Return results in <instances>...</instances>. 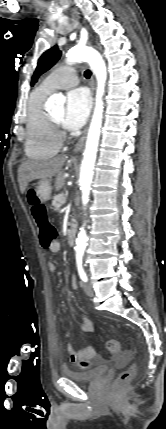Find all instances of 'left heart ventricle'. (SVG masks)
<instances>
[{"label":"left heart ventricle","mask_w":166,"mask_h":429,"mask_svg":"<svg viewBox=\"0 0 166 429\" xmlns=\"http://www.w3.org/2000/svg\"><path fill=\"white\" fill-rule=\"evenodd\" d=\"M52 118L58 122H61L63 118V109H60L54 113L51 114Z\"/></svg>","instance_id":"left-heart-ventricle-1"}]
</instances>
